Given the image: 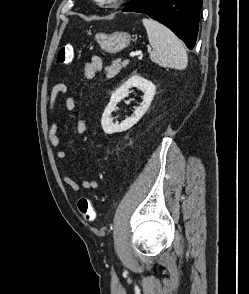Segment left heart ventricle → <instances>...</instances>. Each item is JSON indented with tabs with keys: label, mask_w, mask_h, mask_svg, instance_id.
<instances>
[{
	"label": "left heart ventricle",
	"mask_w": 249,
	"mask_h": 294,
	"mask_svg": "<svg viewBox=\"0 0 249 294\" xmlns=\"http://www.w3.org/2000/svg\"><path fill=\"white\" fill-rule=\"evenodd\" d=\"M99 1H102V2H104V1H107V0H99Z\"/></svg>",
	"instance_id": "b2bd125f"
}]
</instances>
